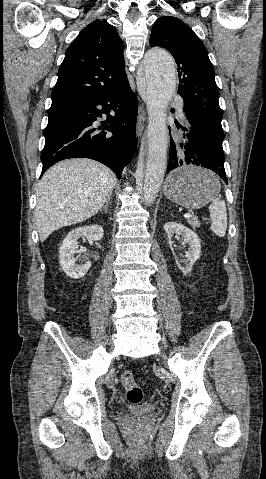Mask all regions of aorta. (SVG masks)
<instances>
[{"label":"aorta","mask_w":266,"mask_h":479,"mask_svg":"<svg viewBox=\"0 0 266 479\" xmlns=\"http://www.w3.org/2000/svg\"><path fill=\"white\" fill-rule=\"evenodd\" d=\"M176 88V70L172 56L162 49H151L144 57L139 90L149 113L148 151L140 175L146 204L156 199L167 166L166 109Z\"/></svg>","instance_id":"aorta-1"}]
</instances>
